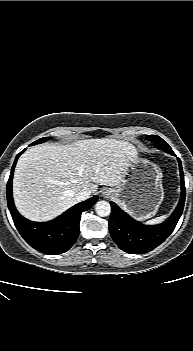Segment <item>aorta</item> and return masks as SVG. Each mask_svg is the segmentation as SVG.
<instances>
[{
  "mask_svg": "<svg viewBox=\"0 0 193 351\" xmlns=\"http://www.w3.org/2000/svg\"><path fill=\"white\" fill-rule=\"evenodd\" d=\"M95 211L97 215L106 217L111 213V206L107 201L101 200L96 203Z\"/></svg>",
  "mask_w": 193,
  "mask_h": 351,
  "instance_id": "762f6f07",
  "label": "aorta"
}]
</instances>
